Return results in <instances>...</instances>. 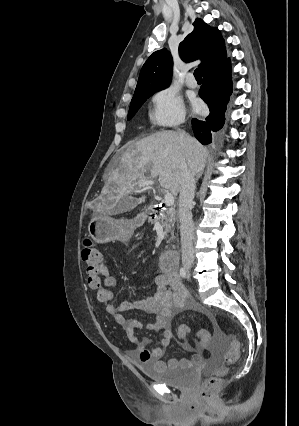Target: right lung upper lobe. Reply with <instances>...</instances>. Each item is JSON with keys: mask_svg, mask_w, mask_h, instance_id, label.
Segmentation results:
<instances>
[{"mask_svg": "<svg viewBox=\"0 0 299 426\" xmlns=\"http://www.w3.org/2000/svg\"><path fill=\"white\" fill-rule=\"evenodd\" d=\"M194 30L179 44L180 57L186 61L202 59L199 65L203 74L226 61L224 40L217 28L208 26L196 18ZM173 60L166 48L154 52L144 63L134 95L157 92L169 86L172 78Z\"/></svg>", "mask_w": 299, "mask_h": 426, "instance_id": "right-lung-upper-lobe-1", "label": "right lung upper lobe"}]
</instances>
